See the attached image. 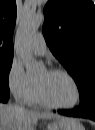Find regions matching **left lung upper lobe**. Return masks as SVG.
I'll list each match as a JSON object with an SVG mask.
<instances>
[{
  "label": "left lung upper lobe",
  "mask_w": 95,
  "mask_h": 130,
  "mask_svg": "<svg viewBox=\"0 0 95 130\" xmlns=\"http://www.w3.org/2000/svg\"><path fill=\"white\" fill-rule=\"evenodd\" d=\"M43 34L84 98L95 89V6L90 0H49Z\"/></svg>",
  "instance_id": "1"
}]
</instances>
